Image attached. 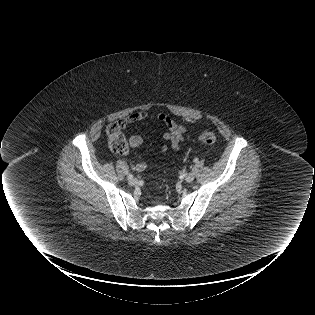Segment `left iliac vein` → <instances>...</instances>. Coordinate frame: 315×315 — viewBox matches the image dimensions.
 Listing matches in <instances>:
<instances>
[{"label": "left iliac vein", "mask_w": 315, "mask_h": 315, "mask_svg": "<svg viewBox=\"0 0 315 315\" xmlns=\"http://www.w3.org/2000/svg\"><path fill=\"white\" fill-rule=\"evenodd\" d=\"M195 176L194 174L192 173H187L185 176H184V180L188 183H191L193 180H194Z\"/></svg>", "instance_id": "obj_1"}]
</instances>
